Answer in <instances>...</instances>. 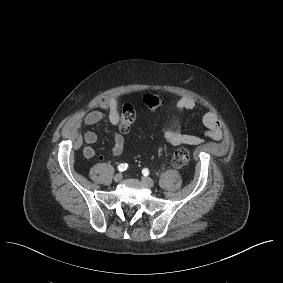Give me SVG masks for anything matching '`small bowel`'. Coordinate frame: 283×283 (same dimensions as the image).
<instances>
[{"mask_svg":"<svg viewBox=\"0 0 283 283\" xmlns=\"http://www.w3.org/2000/svg\"><path fill=\"white\" fill-rule=\"evenodd\" d=\"M100 109L91 111L83 117L72 119L66 126V131L70 137H76V145L81 146L83 143L86 146L83 149L85 158L91 159L96 155L95 149L92 145L97 141V135L93 131L86 132L83 137L78 134L79 128L82 124L95 125L102 121H109L113 126L118 127L120 116L118 112L117 102L114 99H104L99 104ZM176 108L181 112L192 111L195 108V101L188 96H180L176 102ZM202 123L205 127L204 135L214 140H221L223 137V122L217 113L207 112L202 118ZM164 140L174 146L198 145L203 142V138L194 133L182 132L179 125L168 129L163 134ZM125 140L120 131L113 133V146L111 152L118 156L123 152ZM102 159V156L100 157Z\"/></svg>","mask_w":283,"mask_h":283,"instance_id":"c3829d8e","label":"small bowel"}]
</instances>
